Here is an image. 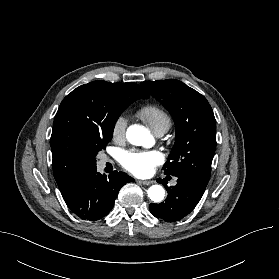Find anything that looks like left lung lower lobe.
I'll use <instances>...</instances> for the list:
<instances>
[{
  "mask_svg": "<svg viewBox=\"0 0 279 279\" xmlns=\"http://www.w3.org/2000/svg\"><path fill=\"white\" fill-rule=\"evenodd\" d=\"M158 181L166 183L164 179H158ZM206 186L191 178L178 177L176 186L166 187L168 192L166 201L160 204L151 203L150 212L166 222L178 221L195 208Z\"/></svg>",
  "mask_w": 279,
  "mask_h": 279,
  "instance_id": "left-lung-lower-lobe-1",
  "label": "left lung lower lobe"
}]
</instances>
